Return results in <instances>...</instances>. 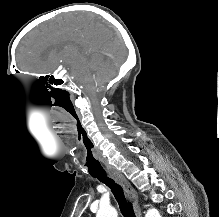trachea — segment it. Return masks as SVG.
<instances>
[{"label": "trachea", "instance_id": "3493384b", "mask_svg": "<svg viewBox=\"0 0 219 217\" xmlns=\"http://www.w3.org/2000/svg\"><path fill=\"white\" fill-rule=\"evenodd\" d=\"M90 175L94 178H97L100 182L106 184L111 189L124 217H136L133 207L129 202H127L123 188L119 183H117L113 178L109 177L104 170L96 173L90 172Z\"/></svg>", "mask_w": 219, "mask_h": 217}]
</instances>
